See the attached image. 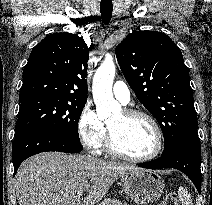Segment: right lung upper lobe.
<instances>
[{
  "instance_id": "cb5924a9",
  "label": "right lung upper lobe",
  "mask_w": 212,
  "mask_h": 205,
  "mask_svg": "<svg viewBox=\"0 0 212 205\" xmlns=\"http://www.w3.org/2000/svg\"><path fill=\"white\" fill-rule=\"evenodd\" d=\"M89 49L77 34H50L37 44L23 71L20 100L52 97L87 101Z\"/></svg>"
}]
</instances>
